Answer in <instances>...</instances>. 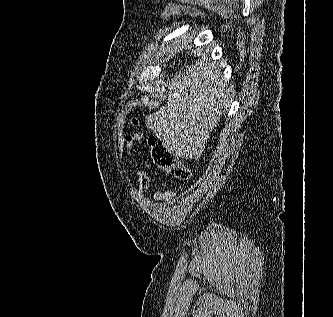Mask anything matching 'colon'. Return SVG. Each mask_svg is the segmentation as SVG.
I'll use <instances>...</instances> for the list:
<instances>
[{"instance_id":"obj_1","label":"colon","mask_w":333,"mask_h":317,"mask_svg":"<svg viewBox=\"0 0 333 317\" xmlns=\"http://www.w3.org/2000/svg\"><path fill=\"white\" fill-rule=\"evenodd\" d=\"M152 161L160 169L178 180H188L191 176L189 167L173 154L155 135L147 140Z\"/></svg>"}]
</instances>
